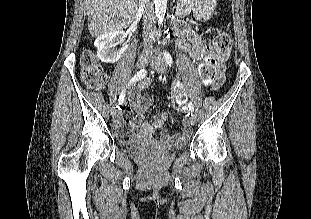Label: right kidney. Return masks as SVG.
Here are the masks:
<instances>
[{"instance_id": "1", "label": "right kidney", "mask_w": 311, "mask_h": 219, "mask_svg": "<svg viewBox=\"0 0 311 219\" xmlns=\"http://www.w3.org/2000/svg\"><path fill=\"white\" fill-rule=\"evenodd\" d=\"M124 38V32L117 30L105 33L96 38L94 45L97 48V56L104 63H115L127 49V45L120 50L114 47L118 41Z\"/></svg>"}]
</instances>
